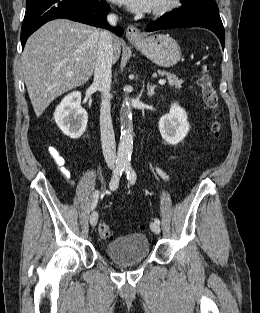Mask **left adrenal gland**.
<instances>
[{"instance_id": "obj_1", "label": "left adrenal gland", "mask_w": 260, "mask_h": 313, "mask_svg": "<svg viewBox=\"0 0 260 313\" xmlns=\"http://www.w3.org/2000/svg\"><path fill=\"white\" fill-rule=\"evenodd\" d=\"M144 84V81H143ZM156 85H147V94L153 96L155 94Z\"/></svg>"}]
</instances>
